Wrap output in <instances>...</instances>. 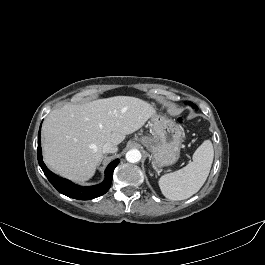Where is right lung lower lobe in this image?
Wrapping results in <instances>:
<instances>
[{
	"instance_id": "obj_1",
	"label": "right lung lower lobe",
	"mask_w": 265,
	"mask_h": 265,
	"mask_svg": "<svg viewBox=\"0 0 265 265\" xmlns=\"http://www.w3.org/2000/svg\"><path fill=\"white\" fill-rule=\"evenodd\" d=\"M41 126L39 129V135H38V149H37V157L40 167L42 168L44 174L50 181V183L62 194L74 198V199H80V200H90L94 199L96 197H99L103 194H105L112 182L113 178V172L115 167L119 163V159H116L112 161L105 170V180L98 185L94 186H88V187H81L79 185H76L72 182H70L67 179L61 178L54 173H52L44 164L42 161V152H41Z\"/></svg>"
}]
</instances>
